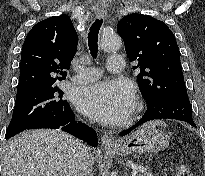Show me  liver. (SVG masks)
I'll return each mask as SVG.
<instances>
[{
	"label": "liver",
	"instance_id": "obj_1",
	"mask_svg": "<svg viewBox=\"0 0 205 176\" xmlns=\"http://www.w3.org/2000/svg\"><path fill=\"white\" fill-rule=\"evenodd\" d=\"M77 142L59 130L25 131L7 144L3 176H75Z\"/></svg>",
	"mask_w": 205,
	"mask_h": 176
}]
</instances>
